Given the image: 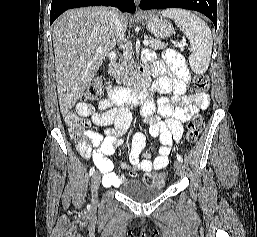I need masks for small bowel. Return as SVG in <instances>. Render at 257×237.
Segmentation results:
<instances>
[{
    "label": "small bowel",
    "instance_id": "small-bowel-1",
    "mask_svg": "<svg viewBox=\"0 0 257 237\" xmlns=\"http://www.w3.org/2000/svg\"><path fill=\"white\" fill-rule=\"evenodd\" d=\"M149 69L156 77L152 90L162 94L157 101L146 99L140 109L149 134L160 141L158 155L154 159L150 156L143 158L146 139L143 133L136 132L131 141L129 163L122 165L123 170L114 172L113 163L108 156L122 145V135L129 129L132 121L130 109L115 104L109 97L101 99L97 109L86 101H80L76 105L80 116L89 117L94 125L106 128L105 137L94 131L87 132L91 143L78 141L77 150L83 157L93 160L103 174V183L107 187L119 186L126 181L127 174L134 177L138 172L164 169L168 165L172 146L182 138L183 123L210 104L206 93L186 94L190 73L177 52L165 51L163 60L154 62L146 70ZM169 93H172L171 97L166 96Z\"/></svg>",
    "mask_w": 257,
    "mask_h": 237
}]
</instances>
